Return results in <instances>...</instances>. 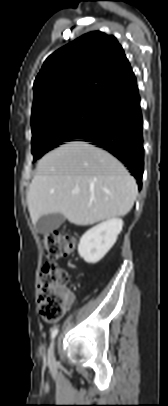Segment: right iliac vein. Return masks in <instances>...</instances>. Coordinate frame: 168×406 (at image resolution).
<instances>
[{
  "label": "right iliac vein",
  "instance_id": "obj_1",
  "mask_svg": "<svg viewBox=\"0 0 168 406\" xmlns=\"http://www.w3.org/2000/svg\"><path fill=\"white\" fill-rule=\"evenodd\" d=\"M54 349H55V341H53L50 345L49 351H48V361L53 362L54 361Z\"/></svg>",
  "mask_w": 168,
  "mask_h": 406
}]
</instances>
